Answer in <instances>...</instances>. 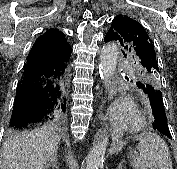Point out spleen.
Listing matches in <instances>:
<instances>
[{
  "instance_id": "obj_1",
  "label": "spleen",
  "mask_w": 177,
  "mask_h": 169,
  "mask_svg": "<svg viewBox=\"0 0 177 169\" xmlns=\"http://www.w3.org/2000/svg\"><path fill=\"white\" fill-rule=\"evenodd\" d=\"M134 139L139 141L136 146L138 153L130 154L134 169H173L169 148L159 135L145 132Z\"/></svg>"
}]
</instances>
